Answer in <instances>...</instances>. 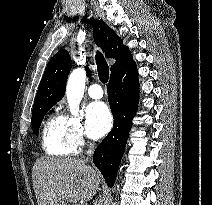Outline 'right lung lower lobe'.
Listing matches in <instances>:
<instances>
[{
    "instance_id": "obj_1",
    "label": "right lung lower lobe",
    "mask_w": 212,
    "mask_h": 205,
    "mask_svg": "<svg viewBox=\"0 0 212 205\" xmlns=\"http://www.w3.org/2000/svg\"><path fill=\"white\" fill-rule=\"evenodd\" d=\"M107 91L114 125L96 148L93 162L101 171L107 184L112 187L139 101L138 71L133 60L111 73Z\"/></svg>"
}]
</instances>
